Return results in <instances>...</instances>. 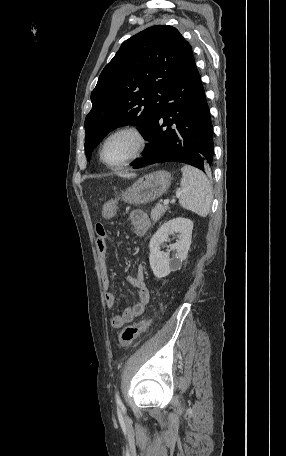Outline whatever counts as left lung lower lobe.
<instances>
[{"label":"left lung lower lobe","mask_w":286,"mask_h":456,"mask_svg":"<svg viewBox=\"0 0 286 456\" xmlns=\"http://www.w3.org/2000/svg\"><path fill=\"white\" fill-rule=\"evenodd\" d=\"M145 139L149 145L143 152L144 157L131 163L133 168L158 162H181L210 174L213 127L195 60L170 88Z\"/></svg>","instance_id":"obj_1"}]
</instances>
